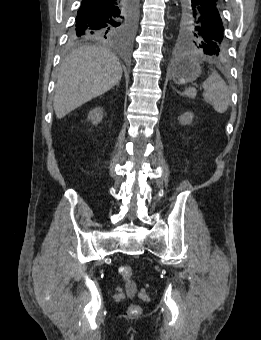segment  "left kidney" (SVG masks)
<instances>
[{
  "label": "left kidney",
  "mask_w": 261,
  "mask_h": 340,
  "mask_svg": "<svg viewBox=\"0 0 261 340\" xmlns=\"http://www.w3.org/2000/svg\"><path fill=\"white\" fill-rule=\"evenodd\" d=\"M193 117H194L193 113L186 112L183 115H181L178 119L181 124L188 125V124H191Z\"/></svg>",
  "instance_id": "1"
}]
</instances>
